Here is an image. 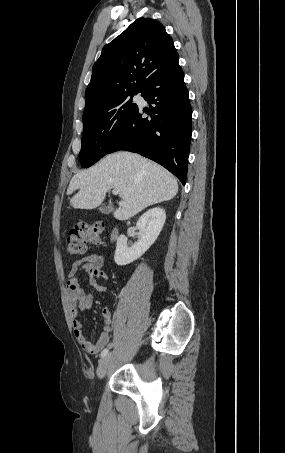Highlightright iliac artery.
Wrapping results in <instances>:
<instances>
[{
  "instance_id": "right-iliac-artery-1",
  "label": "right iliac artery",
  "mask_w": 285,
  "mask_h": 453,
  "mask_svg": "<svg viewBox=\"0 0 285 453\" xmlns=\"http://www.w3.org/2000/svg\"><path fill=\"white\" fill-rule=\"evenodd\" d=\"M108 354V348H105L102 352H101V357L103 358L104 356H106Z\"/></svg>"
}]
</instances>
